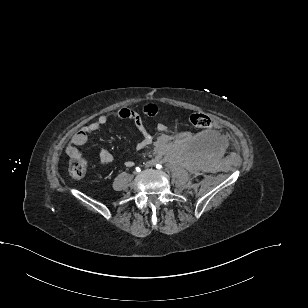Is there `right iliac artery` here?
I'll return each mask as SVG.
<instances>
[{"instance_id":"obj_1","label":"right iliac artery","mask_w":308,"mask_h":308,"mask_svg":"<svg viewBox=\"0 0 308 308\" xmlns=\"http://www.w3.org/2000/svg\"><path fill=\"white\" fill-rule=\"evenodd\" d=\"M140 170H141V169H140L139 167L136 168V171H137V172H140Z\"/></svg>"}]
</instances>
